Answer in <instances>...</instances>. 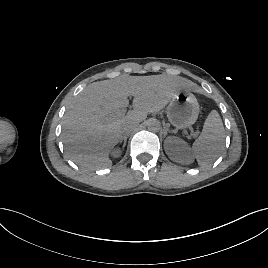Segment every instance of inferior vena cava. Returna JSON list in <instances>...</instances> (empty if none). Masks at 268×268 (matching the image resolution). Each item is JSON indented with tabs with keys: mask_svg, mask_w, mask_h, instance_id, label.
Wrapping results in <instances>:
<instances>
[{
	"mask_svg": "<svg viewBox=\"0 0 268 268\" xmlns=\"http://www.w3.org/2000/svg\"><path fill=\"white\" fill-rule=\"evenodd\" d=\"M137 125L132 122H126L122 125L121 130L123 135H128L136 129Z\"/></svg>",
	"mask_w": 268,
	"mask_h": 268,
	"instance_id": "1",
	"label": "inferior vena cava"
}]
</instances>
